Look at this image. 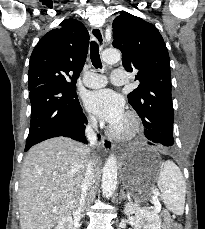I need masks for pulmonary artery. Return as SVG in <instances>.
<instances>
[{
    "label": "pulmonary artery",
    "instance_id": "obj_1",
    "mask_svg": "<svg viewBox=\"0 0 205 229\" xmlns=\"http://www.w3.org/2000/svg\"><path fill=\"white\" fill-rule=\"evenodd\" d=\"M112 83L116 85H124L128 82L127 79V72L124 69L116 68L112 71L111 75ZM84 84L89 88H100L106 85V78L105 76L94 73L88 72L83 78Z\"/></svg>",
    "mask_w": 205,
    "mask_h": 229
}]
</instances>
